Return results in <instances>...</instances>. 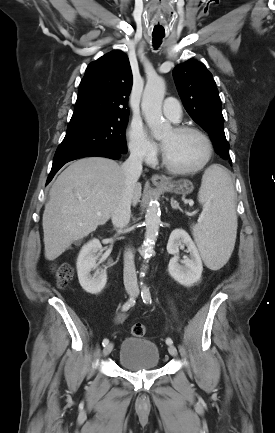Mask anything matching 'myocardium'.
Listing matches in <instances>:
<instances>
[{"label":"myocardium","mask_w":275,"mask_h":433,"mask_svg":"<svg viewBox=\"0 0 275 433\" xmlns=\"http://www.w3.org/2000/svg\"><path fill=\"white\" fill-rule=\"evenodd\" d=\"M173 130L176 133H195L198 134L205 142L206 144V156L204 160L197 166L192 168H180L176 167L173 164L170 163L168 160L165 152H163L162 155V162L163 165L172 173L179 174V175H190V174H196L203 170L211 161L213 153H214V147L211 138L209 135L202 129L196 126H190V125H177L173 128Z\"/></svg>","instance_id":"myocardium-1"}]
</instances>
